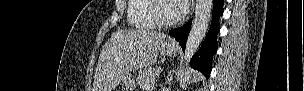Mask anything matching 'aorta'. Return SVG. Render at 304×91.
<instances>
[{
	"mask_svg": "<svg viewBox=\"0 0 304 91\" xmlns=\"http://www.w3.org/2000/svg\"><path fill=\"white\" fill-rule=\"evenodd\" d=\"M213 0H197L195 18L187 38L185 47V65L187 66L193 55L197 52L204 39L212 12Z\"/></svg>",
	"mask_w": 304,
	"mask_h": 91,
	"instance_id": "obj_1",
	"label": "aorta"
}]
</instances>
